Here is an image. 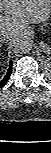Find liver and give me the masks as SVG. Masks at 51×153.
Listing matches in <instances>:
<instances>
[{
    "label": "liver",
    "instance_id": "liver-1",
    "mask_svg": "<svg viewBox=\"0 0 51 153\" xmlns=\"http://www.w3.org/2000/svg\"><path fill=\"white\" fill-rule=\"evenodd\" d=\"M0 12V34H12L15 38L30 24L50 18L51 0H0Z\"/></svg>",
    "mask_w": 51,
    "mask_h": 153
}]
</instances>
